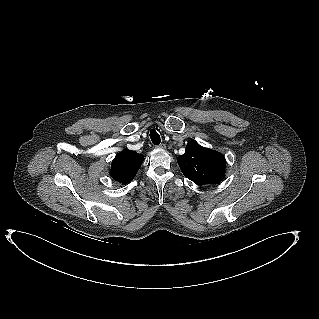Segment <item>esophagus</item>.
<instances>
[{
    "instance_id": "esophagus-1",
    "label": "esophagus",
    "mask_w": 319,
    "mask_h": 319,
    "mask_svg": "<svg viewBox=\"0 0 319 319\" xmlns=\"http://www.w3.org/2000/svg\"><path fill=\"white\" fill-rule=\"evenodd\" d=\"M156 147L159 148V149H165L166 145L164 143H162L160 145H157Z\"/></svg>"
}]
</instances>
